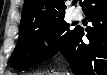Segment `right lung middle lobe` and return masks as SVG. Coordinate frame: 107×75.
I'll return each mask as SVG.
<instances>
[{
    "label": "right lung middle lobe",
    "instance_id": "1",
    "mask_svg": "<svg viewBox=\"0 0 107 75\" xmlns=\"http://www.w3.org/2000/svg\"><path fill=\"white\" fill-rule=\"evenodd\" d=\"M69 27L64 17L41 25L21 24L17 46L11 55V67L25 69L53 57L74 36L77 28ZM43 39L49 42L47 49Z\"/></svg>",
    "mask_w": 107,
    "mask_h": 75
}]
</instances>
